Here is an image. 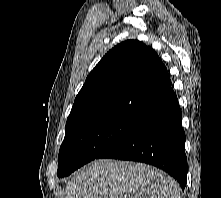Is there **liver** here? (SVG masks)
I'll return each mask as SVG.
<instances>
[{"label": "liver", "instance_id": "6515ba94", "mask_svg": "<svg viewBox=\"0 0 221 198\" xmlns=\"http://www.w3.org/2000/svg\"><path fill=\"white\" fill-rule=\"evenodd\" d=\"M65 198H181L179 184L143 163L94 160L76 172Z\"/></svg>", "mask_w": 221, "mask_h": 198}]
</instances>
